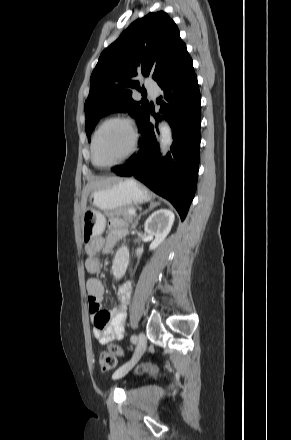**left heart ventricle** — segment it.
<instances>
[{
	"label": "left heart ventricle",
	"instance_id": "1",
	"mask_svg": "<svg viewBox=\"0 0 291 440\" xmlns=\"http://www.w3.org/2000/svg\"><path fill=\"white\" fill-rule=\"evenodd\" d=\"M131 135L121 123H112L99 133L95 145V159L107 164L122 159L130 148Z\"/></svg>",
	"mask_w": 291,
	"mask_h": 440
}]
</instances>
